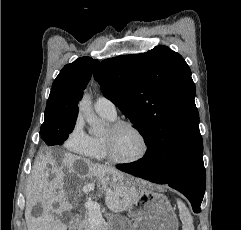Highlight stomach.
Returning <instances> with one entry per match:
<instances>
[{"mask_svg":"<svg viewBox=\"0 0 241 230\" xmlns=\"http://www.w3.org/2000/svg\"><path fill=\"white\" fill-rule=\"evenodd\" d=\"M128 215L133 222L112 217L108 223L110 230H178V219L167 197L146 183L141 184L138 199L128 209Z\"/></svg>","mask_w":241,"mask_h":230,"instance_id":"0dacf381","label":"stomach"}]
</instances>
